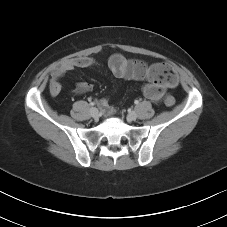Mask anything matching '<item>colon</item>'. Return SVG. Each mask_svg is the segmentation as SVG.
Returning <instances> with one entry per match:
<instances>
[{
    "label": "colon",
    "instance_id": "obj_1",
    "mask_svg": "<svg viewBox=\"0 0 227 227\" xmlns=\"http://www.w3.org/2000/svg\"><path fill=\"white\" fill-rule=\"evenodd\" d=\"M156 73L158 74L161 81L166 82L170 85H175L177 82V75L174 69L166 63H155L152 64ZM167 106L171 107L175 105V98L171 95H167L164 99Z\"/></svg>",
    "mask_w": 227,
    "mask_h": 227
}]
</instances>
